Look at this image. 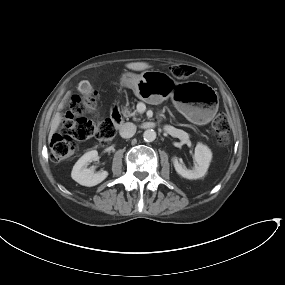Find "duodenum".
<instances>
[{"instance_id":"410a0bca","label":"duodenum","mask_w":285,"mask_h":285,"mask_svg":"<svg viewBox=\"0 0 285 285\" xmlns=\"http://www.w3.org/2000/svg\"><path fill=\"white\" fill-rule=\"evenodd\" d=\"M110 117L118 128L122 125L123 118L118 103L113 105Z\"/></svg>"}]
</instances>
